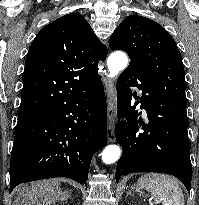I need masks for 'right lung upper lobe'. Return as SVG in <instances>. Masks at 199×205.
Returning <instances> with one entry per match:
<instances>
[{"instance_id": "obj_1", "label": "right lung upper lobe", "mask_w": 199, "mask_h": 205, "mask_svg": "<svg viewBox=\"0 0 199 205\" xmlns=\"http://www.w3.org/2000/svg\"><path fill=\"white\" fill-rule=\"evenodd\" d=\"M107 48L79 13L45 26L26 57L18 120H29L97 82Z\"/></svg>"}]
</instances>
